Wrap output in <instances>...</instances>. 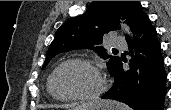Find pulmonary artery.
I'll list each match as a JSON object with an SVG mask.
<instances>
[{"instance_id":"obj_1","label":"pulmonary artery","mask_w":171,"mask_h":110,"mask_svg":"<svg viewBox=\"0 0 171 110\" xmlns=\"http://www.w3.org/2000/svg\"><path fill=\"white\" fill-rule=\"evenodd\" d=\"M111 37L113 38L111 41V45L113 47H118V48H126L127 47V42L124 38L119 37L116 34H112Z\"/></svg>"}]
</instances>
